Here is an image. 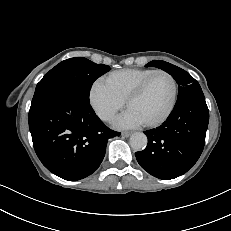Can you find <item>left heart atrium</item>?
Masks as SVG:
<instances>
[{
  "label": "left heart atrium",
  "instance_id": "1",
  "mask_svg": "<svg viewBox=\"0 0 231 231\" xmlns=\"http://www.w3.org/2000/svg\"><path fill=\"white\" fill-rule=\"evenodd\" d=\"M143 124V121L131 110L127 109L115 122L118 128H136Z\"/></svg>",
  "mask_w": 231,
  "mask_h": 231
}]
</instances>
